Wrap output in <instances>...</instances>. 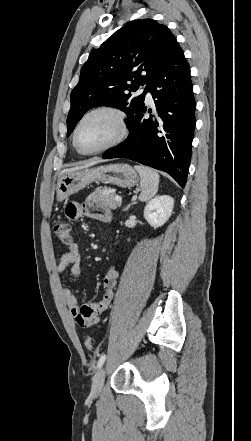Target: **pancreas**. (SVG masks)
I'll return each instance as SVG.
<instances>
[{"label": "pancreas", "mask_w": 251, "mask_h": 441, "mask_svg": "<svg viewBox=\"0 0 251 441\" xmlns=\"http://www.w3.org/2000/svg\"><path fill=\"white\" fill-rule=\"evenodd\" d=\"M88 201H92L96 204L104 205L112 210H116L120 203L114 200V193L110 188L107 187H98L92 192L88 197Z\"/></svg>", "instance_id": "pancreas-1"}]
</instances>
